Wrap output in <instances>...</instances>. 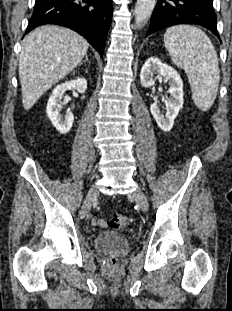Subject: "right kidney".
I'll return each instance as SVG.
<instances>
[{
	"instance_id": "obj_1",
	"label": "right kidney",
	"mask_w": 232,
	"mask_h": 311,
	"mask_svg": "<svg viewBox=\"0 0 232 311\" xmlns=\"http://www.w3.org/2000/svg\"><path fill=\"white\" fill-rule=\"evenodd\" d=\"M77 90L79 93H84L87 89V81L84 78H78L69 82H65L56 86L48 100L46 113L60 134H66L70 131L74 116L70 109L66 110L65 116L60 114L63 108L62 98L66 90Z\"/></svg>"
}]
</instances>
